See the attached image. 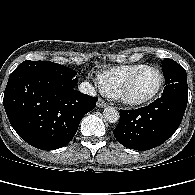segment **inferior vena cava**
I'll return each mask as SVG.
<instances>
[{
	"label": "inferior vena cava",
	"instance_id": "602c4592",
	"mask_svg": "<svg viewBox=\"0 0 195 195\" xmlns=\"http://www.w3.org/2000/svg\"><path fill=\"white\" fill-rule=\"evenodd\" d=\"M78 88L81 93H84L90 96H96V91L89 82H82Z\"/></svg>",
	"mask_w": 195,
	"mask_h": 195
}]
</instances>
